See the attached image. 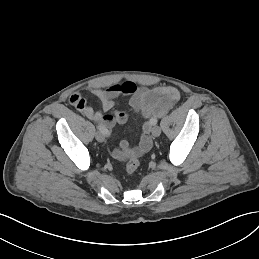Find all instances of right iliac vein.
<instances>
[{
    "label": "right iliac vein",
    "mask_w": 259,
    "mask_h": 259,
    "mask_svg": "<svg viewBox=\"0 0 259 259\" xmlns=\"http://www.w3.org/2000/svg\"><path fill=\"white\" fill-rule=\"evenodd\" d=\"M95 137L98 142H103L105 139L104 135L99 131L96 132Z\"/></svg>",
    "instance_id": "right-iliac-vein-1"
}]
</instances>
